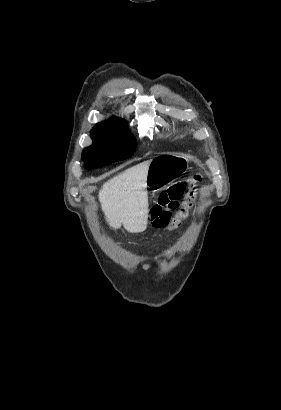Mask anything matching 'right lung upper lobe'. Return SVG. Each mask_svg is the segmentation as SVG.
Here are the masks:
<instances>
[{
  "instance_id": "obj_1",
  "label": "right lung upper lobe",
  "mask_w": 281,
  "mask_h": 410,
  "mask_svg": "<svg viewBox=\"0 0 281 410\" xmlns=\"http://www.w3.org/2000/svg\"><path fill=\"white\" fill-rule=\"evenodd\" d=\"M100 123L122 124L124 121L119 118H114Z\"/></svg>"
}]
</instances>
